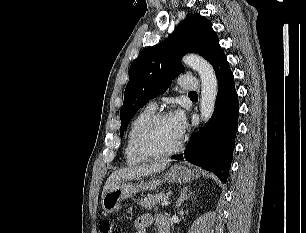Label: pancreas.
<instances>
[{
	"label": "pancreas",
	"mask_w": 306,
	"mask_h": 233,
	"mask_svg": "<svg viewBox=\"0 0 306 233\" xmlns=\"http://www.w3.org/2000/svg\"><path fill=\"white\" fill-rule=\"evenodd\" d=\"M166 199L165 194L148 196L139 201V204L146 209H157V204Z\"/></svg>",
	"instance_id": "pancreas-1"
}]
</instances>
